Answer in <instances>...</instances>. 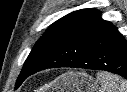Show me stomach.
<instances>
[{
	"label": "stomach",
	"mask_w": 127,
	"mask_h": 92,
	"mask_svg": "<svg viewBox=\"0 0 127 92\" xmlns=\"http://www.w3.org/2000/svg\"><path fill=\"white\" fill-rule=\"evenodd\" d=\"M52 86L56 92H95L99 80L83 71H67L55 79Z\"/></svg>",
	"instance_id": "1"
}]
</instances>
